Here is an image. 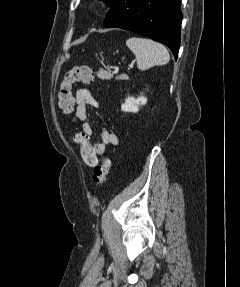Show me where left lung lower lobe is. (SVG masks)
Listing matches in <instances>:
<instances>
[{
	"mask_svg": "<svg viewBox=\"0 0 240 287\" xmlns=\"http://www.w3.org/2000/svg\"><path fill=\"white\" fill-rule=\"evenodd\" d=\"M103 22L167 45L175 59L180 47L182 13L180 0H112Z\"/></svg>",
	"mask_w": 240,
	"mask_h": 287,
	"instance_id": "0a47b994",
	"label": "left lung lower lobe"
}]
</instances>
